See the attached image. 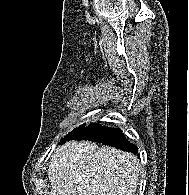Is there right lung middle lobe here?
Masks as SVG:
<instances>
[{
  "label": "right lung middle lobe",
  "mask_w": 189,
  "mask_h": 195,
  "mask_svg": "<svg viewBox=\"0 0 189 195\" xmlns=\"http://www.w3.org/2000/svg\"><path fill=\"white\" fill-rule=\"evenodd\" d=\"M85 127V125H81L78 128H75L72 132L68 133L67 136H65L61 141H64L68 138L74 137L75 135H77L83 128Z\"/></svg>",
  "instance_id": "obj_1"
}]
</instances>
